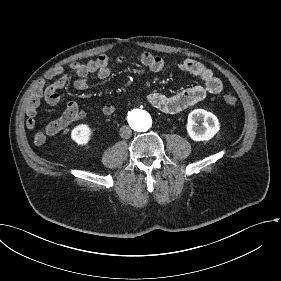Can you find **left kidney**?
I'll return each mask as SVG.
<instances>
[{"label": "left kidney", "mask_w": 281, "mask_h": 281, "mask_svg": "<svg viewBox=\"0 0 281 281\" xmlns=\"http://www.w3.org/2000/svg\"><path fill=\"white\" fill-rule=\"evenodd\" d=\"M201 119L203 123L199 126ZM186 130L193 141L207 142L219 132L220 122L215 114L204 109H195L188 115Z\"/></svg>", "instance_id": "5707ae66"}]
</instances>
